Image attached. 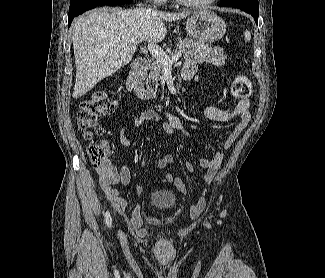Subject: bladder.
I'll return each instance as SVG.
<instances>
[{"mask_svg": "<svg viewBox=\"0 0 325 278\" xmlns=\"http://www.w3.org/2000/svg\"><path fill=\"white\" fill-rule=\"evenodd\" d=\"M177 196L167 189H157L150 193L149 203L159 210H169L175 206Z\"/></svg>", "mask_w": 325, "mask_h": 278, "instance_id": "1", "label": "bladder"}]
</instances>
